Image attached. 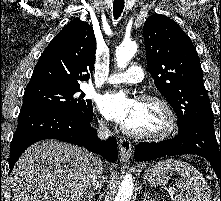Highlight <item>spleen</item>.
<instances>
[{"label":"spleen","instance_id":"1","mask_svg":"<svg viewBox=\"0 0 221 201\" xmlns=\"http://www.w3.org/2000/svg\"><path fill=\"white\" fill-rule=\"evenodd\" d=\"M158 164L176 171L181 177L175 184L179 194L175 195V188L169 191L172 201H211L210 187L194 166L174 158L163 160Z\"/></svg>","mask_w":221,"mask_h":201}]
</instances>
